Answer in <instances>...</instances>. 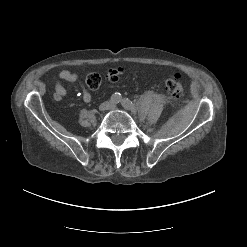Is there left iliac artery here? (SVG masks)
<instances>
[{
	"label": "left iliac artery",
	"instance_id": "1",
	"mask_svg": "<svg viewBox=\"0 0 247 247\" xmlns=\"http://www.w3.org/2000/svg\"><path fill=\"white\" fill-rule=\"evenodd\" d=\"M121 104L124 108L128 109V110H133L134 109V105L132 103L131 100H129L128 98H124L121 101Z\"/></svg>",
	"mask_w": 247,
	"mask_h": 247
}]
</instances>
